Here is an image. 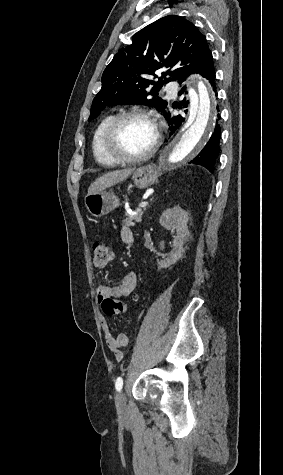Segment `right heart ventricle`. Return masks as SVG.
Returning <instances> with one entry per match:
<instances>
[{
  "label": "right heart ventricle",
  "instance_id": "obj_1",
  "mask_svg": "<svg viewBox=\"0 0 283 475\" xmlns=\"http://www.w3.org/2000/svg\"><path fill=\"white\" fill-rule=\"evenodd\" d=\"M115 117L116 116L114 114L107 115L97 124L96 128L93 131L91 149L93 156L97 162H105L106 157L109 155L108 153H104L102 151V139L106 129Z\"/></svg>",
  "mask_w": 283,
  "mask_h": 475
}]
</instances>
